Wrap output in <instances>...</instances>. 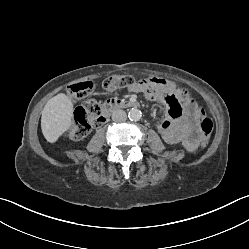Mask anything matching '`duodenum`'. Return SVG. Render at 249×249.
Wrapping results in <instances>:
<instances>
[{
    "label": "duodenum",
    "mask_w": 249,
    "mask_h": 249,
    "mask_svg": "<svg viewBox=\"0 0 249 249\" xmlns=\"http://www.w3.org/2000/svg\"><path fill=\"white\" fill-rule=\"evenodd\" d=\"M139 106V103L136 101L131 100H111L106 102L104 106L103 111V117L102 119L105 120L107 117H109L112 113L121 110V109H127V108H136Z\"/></svg>",
    "instance_id": "duodenum-1"
}]
</instances>
